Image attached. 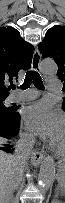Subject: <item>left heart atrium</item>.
<instances>
[{"mask_svg":"<svg viewBox=\"0 0 65 203\" xmlns=\"http://www.w3.org/2000/svg\"><path fill=\"white\" fill-rule=\"evenodd\" d=\"M27 128L36 135L54 143L64 132L65 119L47 100H40L28 106L23 113Z\"/></svg>","mask_w":65,"mask_h":203,"instance_id":"39dd6f15","label":"left heart atrium"}]
</instances>
